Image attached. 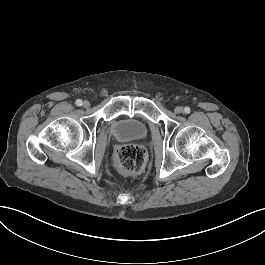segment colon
Returning <instances> with one entry per match:
<instances>
[{
  "mask_svg": "<svg viewBox=\"0 0 265 265\" xmlns=\"http://www.w3.org/2000/svg\"><path fill=\"white\" fill-rule=\"evenodd\" d=\"M148 163L145 150L135 144L121 147L114 159L115 167L124 174H138L144 171Z\"/></svg>",
  "mask_w": 265,
  "mask_h": 265,
  "instance_id": "colon-1",
  "label": "colon"
}]
</instances>
